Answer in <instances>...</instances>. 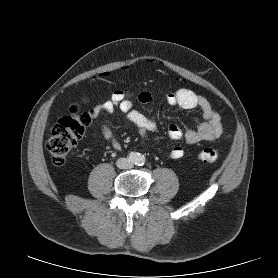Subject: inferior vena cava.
<instances>
[{
	"instance_id": "602c4592",
	"label": "inferior vena cava",
	"mask_w": 278,
	"mask_h": 278,
	"mask_svg": "<svg viewBox=\"0 0 278 278\" xmlns=\"http://www.w3.org/2000/svg\"><path fill=\"white\" fill-rule=\"evenodd\" d=\"M117 167L120 169H128L132 167L130 161L126 158H119L117 160Z\"/></svg>"
}]
</instances>
